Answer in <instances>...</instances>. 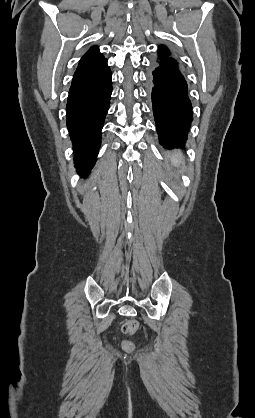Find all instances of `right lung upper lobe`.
<instances>
[{"label": "right lung upper lobe", "instance_id": "1", "mask_svg": "<svg viewBox=\"0 0 255 418\" xmlns=\"http://www.w3.org/2000/svg\"><path fill=\"white\" fill-rule=\"evenodd\" d=\"M102 56L103 55L99 52L98 47H92L81 58L80 63L92 61V60L98 59V58H100Z\"/></svg>", "mask_w": 255, "mask_h": 418}]
</instances>
